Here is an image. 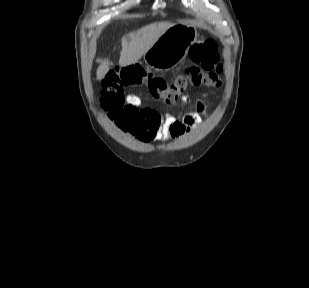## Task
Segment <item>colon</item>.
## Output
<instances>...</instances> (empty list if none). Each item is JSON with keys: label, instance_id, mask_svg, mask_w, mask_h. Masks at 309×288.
I'll return each instance as SVG.
<instances>
[{"label": "colon", "instance_id": "1", "mask_svg": "<svg viewBox=\"0 0 309 288\" xmlns=\"http://www.w3.org/2000/svg\"><path fill=\"white\" fill-rule=\"evenodd\" d=\"M189 57L190 64L172 83L146 72L139 64L109 71L102 80L101 106L116 120L130 112L125 100L126 87L147 85L154 97L173 103L189 85L196 88L221 85L219 75L223 64L214 39L204 38L194 43L189 49Z\"/></svg>", "mask_w": 309, "mask_h": 288}]
</instances>
